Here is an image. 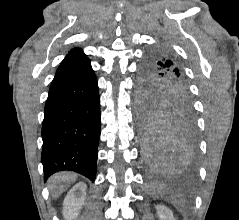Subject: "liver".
<instances>
[{"label": "liver", "instance_id": "liver-1", "mask_svg": "<svg viewBox=\"0 0 239 220\" xmlns=\"http://www.w3.org/2000/svg\"><path fill=\"white\" fill-rule=\"evenodd\" d=\"M75 179L76 175L72 172H60L51 176L49 185L52 198H59Z\"/></svg>", "mask_w": 239, "mask_h": 220}]
</instances>
